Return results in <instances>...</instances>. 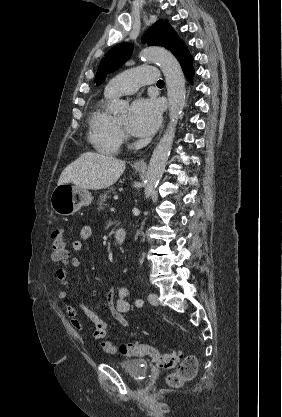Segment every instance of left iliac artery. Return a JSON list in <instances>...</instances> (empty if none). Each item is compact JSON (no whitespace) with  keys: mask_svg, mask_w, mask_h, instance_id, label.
<instances>
[{"mask_svg":"<svg viewBox=\"0 0 282 417\" xmlns=\"http://www.w3.org/2000/svg\"><path fill=\"white\" fill-rule=\"evenodd\" d=\"M135 304H136L137 307H141L143 305V300L137 299Z\"/></svg>","mask_w":282,"mask_h":417,"instance_id":"left-iliac-artery-1","label":"left iliac artery"}]
</instances>
